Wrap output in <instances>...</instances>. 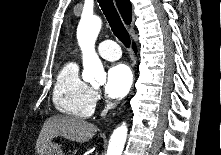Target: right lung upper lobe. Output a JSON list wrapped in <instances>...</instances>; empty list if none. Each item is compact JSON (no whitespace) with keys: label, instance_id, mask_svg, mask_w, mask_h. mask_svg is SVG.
Listing matches in <instances>:
<instances>
[{"label":"right lung upper lobe","instance_id":"obj_1","mask_svg":"<svg viewBox=\"0 0 221 155\" xmlns=\"http://www.w3.org/2000/svg\"><path fill=\"white\" fill-rule=\"evenodd\" d=\"M118 9L126 24L131 22L132 6L129 0H116Z\"/></svg>","mask_w":221,"mask_h":155}]
</instances>
